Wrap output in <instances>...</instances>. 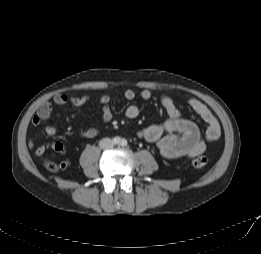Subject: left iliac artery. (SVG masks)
Wrapping results in <instances>:
<instances>
[{"mask_svg":"<svg viewBox=\"0 0 261 254\" xmlns=\"http://www.w3.org/2000/svg\"><path fill=\"white\" fill-rule=\"evenodd\" d=\"M121 145H122V146H127V141H126L125 139H123V140L121 141Z\"/></svg>","mask_w":261,"mask_h":254,"instance_id":"obj_1","label":"left iliac artery"}]
</instances>
